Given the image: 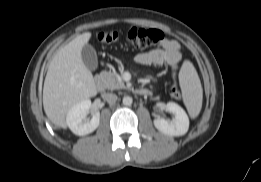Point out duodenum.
<instances>
[{
  "mask_svg": "<svg viewBox=\"0 0 261 182\" xmlns=\"http://www.w3.org/2000/svg\"><path fill=\"white\" fill-rule=\"evenodd\" d=\"M95 85L99 91H104L105 85L103 80L100 77H97L95 80ZM135 92L141 96H150L151 92L146 88H136Z\"/></svg>",
  "mask_w": 261,
  "mask_h": 182,
  "instance_id": "1",
  "label": "duodenum"
}]
</instances>
